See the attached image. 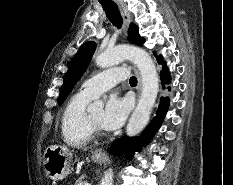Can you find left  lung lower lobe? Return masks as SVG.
I'll return each instance as SVG.
<instances>
[{
	"label": "left lung lower lobe",
	"instance_id": "0a47b994",
	"mask_svg": "<svg viewBox=\"0 0 233 185\" xmlns=\"http://www.w3.org/2000/svg\"><path fill=\"white\" fill-rule=\"evenodd\" d=\"M157 57V56H156ZM157 61L163 65V69L160 73L162 83H170V75L166 67V63L163 61L161 56L157 57ZM169 100L168 98H161L157 115L153 118L149 126L143 131L140 138H129L124 136L114 141L113 145L109 148V151L114 154L125 155L130 160L133 157L134 152L140 151L142 146H145L150 138L153 137L155 132L160 127L163 118L168 109Z\"/></svg>",
	"mask_w": 233,
	"mask_h": 185
}]
</instances>
